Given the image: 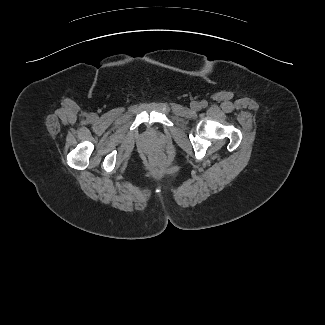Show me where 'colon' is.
I'll use <instances>...</instances> for the list:
<instances>
[{
    "instance_id": "5ec220e1",
    "label": "colon",
    "mask_w": 325,
    "mask_h": 325,
    "mask_svg": "<svg viewBox=\"0 0 325 325\" xmlns=\"http://www.w3.org/2000/svg\"><path fill=\"white\" fill-rule=\"evenodd\" d=\"M157 161H158L159 163H162V162H163V158H162V157H159V158L157 159Z\"/></svg>"
}]
</instances>
